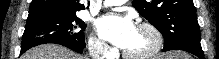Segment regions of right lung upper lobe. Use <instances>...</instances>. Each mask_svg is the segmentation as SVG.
Wrapping results in <instances>:
<instances>
[{
  "instance_id": "obj_1",
  "label": "right lung upper lobe",
  "mask_w": 219,
  "mask_h": 59,
  "mask_svg": "<svg viewBox=\"0 0 219 59\" xmlns=\"http://www.w3.org/2000/svg\"><path fill=\"white\" fill-rule=\"evenodd\" d=\"M85 9L79 0H32L29 13L35 11H48L62 14H76Z\"/></svg>"
}]
</instances>
